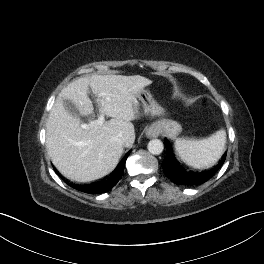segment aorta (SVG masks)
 Wrapping results in <instances>:
<instances>
[{
	"instance_id": "762f6f07",
	"label": "aorta",
	"mask_w": 264,
	"mask_h": 264,
	"mask_svg": "<svg viewBox=\"0 0 264 264\" xmlns=\"http://www.w3.org/2000/svg\"><path fill=\"white\" fill-rule=\"evenodd\" d=\"M164 145L159 139H152L148 143V151L153 155H159L163 152Z\"/></svg>"
}]
</instances>
